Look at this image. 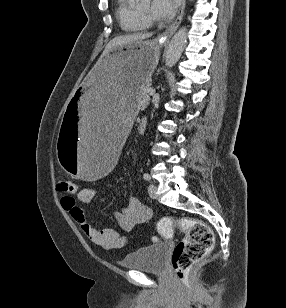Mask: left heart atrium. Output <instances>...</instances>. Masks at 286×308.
<instances>
[{
  "mask_svg": "<svg viewBox=\"0 0 286 308\" xmlns=\"http://www.w3.org/2000/svg\"><path fill=\"white\" fill-rule=\"evenodd\" d=\"M178 0H153L151 4V13L158 18H170L176 9Z\"/></svg>",
  "mask_w": 286,
  "mask_h": 308,
  "instance_id": "obj_1",
  "label": "left heart atrium"
}]
</instances>
